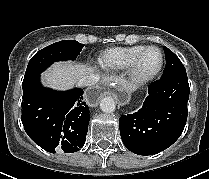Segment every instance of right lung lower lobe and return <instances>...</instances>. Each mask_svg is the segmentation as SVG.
I'll return each mask as SVG.
<instances>
[{"mask_svg":"<svg viewBox=\"0 0 209 179\" xmlns=\"http://www.w3.org/2000/svg\"><path fill=\"white\" fill-rule=\"evenodd\" d=\"M80 88L66 92L43 87L40 76L23 88L22 124L28 136L44 150L73 153L83 147L89 107Z\"/></svg>","mask_w":209,"mask_h":179,"instance_id":"obj_1","label":"right lung lower lobe"}]
</instances>
